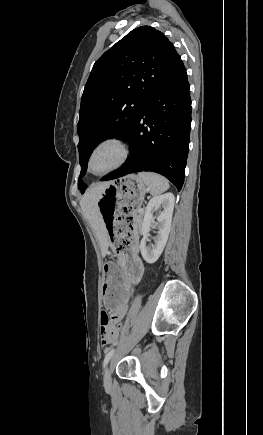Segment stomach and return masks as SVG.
Wrapping results in <instances>:
<instances>
[{
	"instance_id": "stomach-1",
	"label": "stomach",
	"mask_w": 263,
	"mask_h": 435,
	"mask_svg": "<svg viewBox=\"0 0 263 435\" xmlns=\"http://www.w3.org/2000/svg\"><path fill=\"white\" fill-rule=\"evenodd\" d=\"M146 193V185L136 175L111 181L101 193L97 205L103 219L102 232L109 233V245L116 260H105L103 266V310H119L130 305L131 288H137L142 277L139 262L131 261L133 247L138 245L137 209Z\"/></svg>"
}]
</instances>
